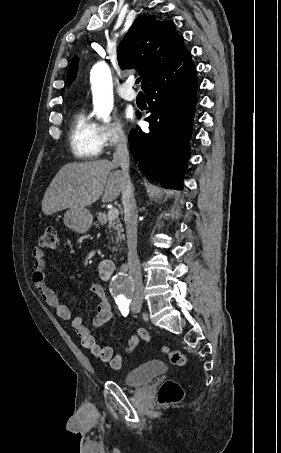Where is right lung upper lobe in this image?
Returning <instances> with one entry per match:
<instances>
[{
  "mask_svg": "<svg viewBox=\"0 0 281 453\" xmlns=\"http://www.w3.org/2000/svg\"><path fill=\"white\" fill-rule=\"evenodd\" d=\"M170 20H159L155 16L142 14L130 27L118 47V62L122 69L135 68L145 82L158 74L187 52L183 37L175 31ZM77 60L69 67L67 79L70 83L76 75Z\"/></svg>",
  "mask_w": 281,
  "mask_h": 453,
  "instance_id": "1",
  "label": "right lung upper lobe"
}]
</instances>
